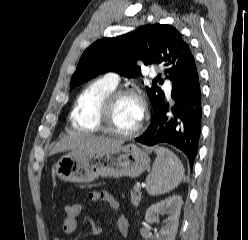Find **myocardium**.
I'll return each mask as SVG.
<instances>
[{"label": "myocardium", "instance_id": "myocardium-1", "mask_svg": "<svg viewBox=\"0 0 248 240\" xmlns=\"http://www.w3.org/2000/svg\"><path fill=\"white\" fill-rule=\"evenodd\" d=\"M123 97L136 98L141 105L142 116L138 125L129 132H121L113 129L109 124L110 113L116 105L117 101ZM148 114L145 100L138 90L130 88H116L107 94L104 99L100 102L96 111V125L97 128L108 135L119 137V138H132L137 136L143 129L145 118Z\"/></svg>", "mask_w": 248, "mask_h": 240}]
</instances>
